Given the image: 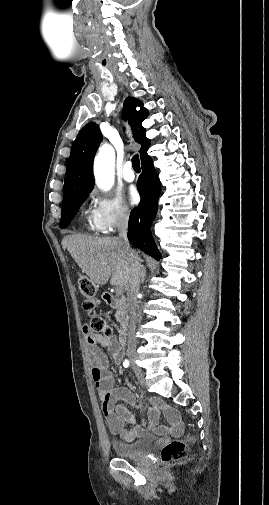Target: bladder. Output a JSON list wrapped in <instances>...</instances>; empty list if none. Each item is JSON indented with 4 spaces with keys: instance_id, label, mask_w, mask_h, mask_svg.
I'll use <instances>...</instances> for the list:
<instances>
[{
    "instance_id": "1",
    "label": "bladder",
    "mask_w": 269,
    "mask_h": 505,
    "mask_svg": "<svg viewBox=\"0 0 269 505\" xmlns=\"http://www.w3.org/2000/svg\"><path fill=\"white\" fill-rule=\"evenodd\" d=\"M155 437L146 435L133 442L112 441V448L120 458L137 459L147 453L155 444Z\"/></svg>"
}]
</instances>
